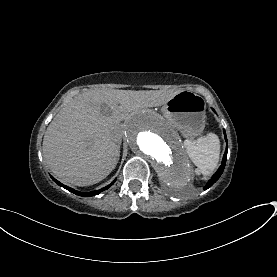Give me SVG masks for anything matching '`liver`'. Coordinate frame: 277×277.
<instances>
[{"instance_id": "obj_1", "label": "liver", "mask_w": 277, "mask_h": 277, "mask_svg": "<svg viewBox=\"0 0 277 277\" xmlns=\"http://www.w3.org/2000/svg\"><path fill=\"white\" fill-rule=\"evenodd\" d=\"M173 95L114 89L77 95L47 127L43 156L48 167L75 186L100 182L116 167L122 138H127L128 124L138 111L161 106Z\"/></svg>"}]
</instances>
